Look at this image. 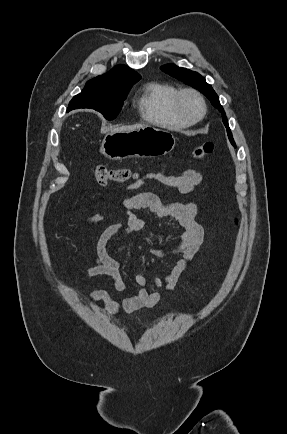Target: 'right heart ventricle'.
<instances>
[{"label": "right heart ventricle", "mask_w": 287, "mask_h": 434, "mask_svg": "<svg viewBox=\"0 0 287 434\" xmlns=\"http://www.w3.org/2000/svg\"><path fill=\"white\" fill-rule=\"evenodd\" d=\"M177 89L169 84L150 82L142 91L139 108L143 118L166 127H186L189 123L176 115L173 98Z\"/></svg>", "instance_id": "obj_1"}]
</instances>
